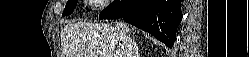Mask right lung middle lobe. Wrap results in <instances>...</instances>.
<instances>
[{
  "label": "right lung middle lobe",
  "instance_id": "1",
  "mask_svg": "<svg viewBox=\"0 0 249 57\" xmlns=\"http://www.w3.org/2000/svg\"><path fill=\"white\" fill-rule=\"evenodd\" d=\"M78 0H69L67 3H66V6H65V9L63 11V16H68L70 15L74 8L76 7V4H77Z\"/></svg>",
  "mask_w": 249,
  "mask_h": 57
}]
</instances>
